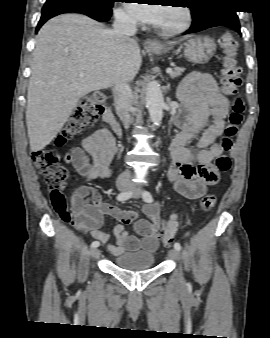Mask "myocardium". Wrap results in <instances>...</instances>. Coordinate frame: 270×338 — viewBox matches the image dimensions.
<instances>
[{
	"label": "myocardium",
	"mask_w": 270,
	"mask_h": 338,
	"mask_svg": "<svg viewBox=\"0 0 270 338\" xmlns=\"http://www.w3.org/2000/svg\"><path fill=\"white\" fill-rule=\"evenodd\" d=\"M176 1V0H173ZM178 8L182 14V19L181 22L175 26L172 27H157L155 26L154 29L161 35L164 36H174L181 34L185 32L192 23L193 20V14L191 9L188 6H184L182 4H176L173 6H168V7H175Z\"/></svg>",
	"instance_id": "f54148a6"
}]
</instances>
